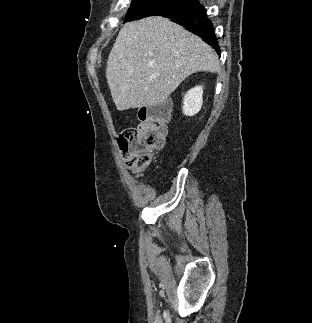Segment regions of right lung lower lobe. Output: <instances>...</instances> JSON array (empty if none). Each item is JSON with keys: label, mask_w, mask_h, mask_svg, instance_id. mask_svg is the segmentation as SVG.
<instances>
[{"label": "right lung lower lobe", "mask_w": 312, "mask_h": 323, "mask_svg": "<svg viewBox=\"0 0 312 323\" xmlns=\"http://www.w3.org/2000/svg\"><path fill=\"white\" fill-rule=\"evenodd\" d=\"M162 16L171 18L173 22L186 27L194 34L200 36L220 54V47L213 31V24L207 18L206 9L198 0H195V2L189 6L177 9Z\"/></svg>", "instance_id": "obj_1"}]
</instances>
